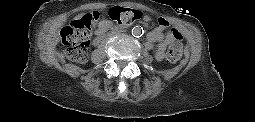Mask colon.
Returning a JSON list of instances; mask_svg holds the SVG:
<instances>
[{
    "label": "colon",
    "mask_w": 255,
    "mask_h": 122,
    "mask_svg": "<svg viewBox=\"0 0 255 122\" xmlns=\"http://www.w3.org/2000/svg\"><path fill=\"white\" fill-rule=\"evenodd\" d=\"M107 17L120 25H129L137 22L142 18V12L133 9L115 7L101 13L94 11L83 15L79 19L74 20L68 27L62 31V40L67 46V56L77 62H83L87 57L88 39L92 33L94 25L102 18ZM163 26L166 23L162 22ZM175 41L170 44L167 51V60L170 62L178 61L183 52L181 43L182 36L176 29H171Z\"/></svg>",
    "instance_id": "1"
}]
</instances>
